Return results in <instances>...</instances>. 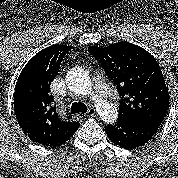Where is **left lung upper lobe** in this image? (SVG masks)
I'll list each match as a JSON object with an SVG mask.
<instances>
[{
	"label": "left lung upper lobe",
	"mask_w": 178,
	"mask_h": 178,
	"mask_svg": "<svg viewBox=\"0 0 178 178\" xmlns=\"http://www.w3.org/2000/svg\"><path fill=\"white\" fill-rule=\"evenodd\" d=\"M88 51L121 95L118 118L162 124L169 92L159 64L149 52L125 41L108 47L90 46Z\"/></svg>",
	"instance_id": "left-lung-upper-lobe-1"
}]
</instances>
